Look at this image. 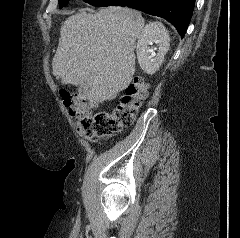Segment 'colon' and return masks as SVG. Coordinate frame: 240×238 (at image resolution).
Masks as SVG:
<instances>
[{"label":"colon","mask_w":240,"mask_h":238,"mask_svg":"<svg viewBox=\"0 0 240 238\" xmlns=\"http://www.w3.org/2000/svg\"><path fill=\"white\" fill-rule=\"evenodd\" d=\"M147 93L144 78L135 76L111 113L89 110L81 97L67 90L61 91V97L69 113L78 119L80 133L86 138H97L112 136L130 126Z\"/></svg>","instance_id":"1"}]
</instances>
